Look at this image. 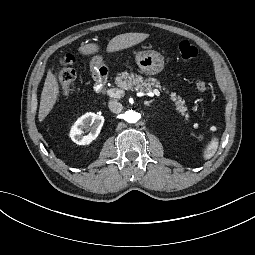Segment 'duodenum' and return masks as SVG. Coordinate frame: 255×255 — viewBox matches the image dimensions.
Masks as SVG:
<instances>
[{"mask_svg":"<svg viewBox=\"0 0 255 255\" xmlns=\"http://www.w3.org/2000/svg\"><path fill=\"white\" fill-rule=\"evenodd\" d=\"M104 81H105V78L103 75L101 74H98L97 75V80H96V85L99 89H101L104 85Z\"/></svg>","mask_w":255,"mask_h":255,"instance_id":"duodenum-1","label":"duodenum"}]
</instances>
